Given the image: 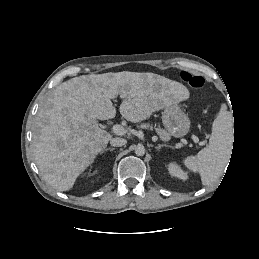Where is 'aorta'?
Wrapping results in <instances>:
<instances>
[{
    "label": "aorta",
    "instance_id": "obj_1",
    "mask_svg": "<svg viewBox=\"0 0 259 259\" xmlns=\"http://www.w3.org/2000/svg\"><path fill=\"white\" fill-rule=\"evenodd\" d=\"M135 154L137 156H143L145 154V148L143 145H137L135 148Z\"/></svg>",
    "mask_w": 259,
    "mask_h": 259
}]
</instances>
